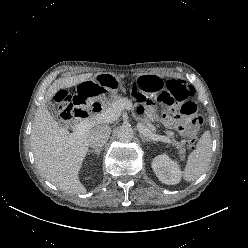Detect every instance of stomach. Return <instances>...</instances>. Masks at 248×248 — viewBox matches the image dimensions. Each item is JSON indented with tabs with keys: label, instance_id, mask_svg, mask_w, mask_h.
Returning <instances> with one entry per match:
<instances>
[{
	"label": "stomach",
	"instance_id": "stomach-1",
	"mask_svg": "<svg viewBox=\"0 0 248 248\" xmlns=\"http://www.w3.org/2000/svg\"><path fill=\"white\" fill-rule=\"evenodd\" d=\"M137 79L150 92H159L164 85L163 78L159 75L141 74ZM120 85V79L113 73H98L92 80L77 86L73 96L75 101L82 104L85 109L105 114L111 108V100L105 93L116 91Z\"/></svg>",
	"mask_w": 248,
	"mask_h": 248
}]
</instances>
